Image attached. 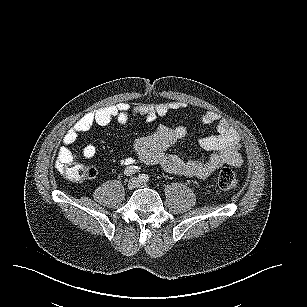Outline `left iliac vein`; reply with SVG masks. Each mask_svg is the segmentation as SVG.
<instances>
[{"instance_id": "4c4485c4", "label": "left iliac vein", "mask_w": 307, "mask_h": 307, "mask_svg": "<svg viewBox=\"0 0 307 307\" xmlns=\"http://www.w3.org/2000/svg\"><path fill=\"white\" fill-rule=\"evenodd\" d=\"M137 186H139V187H146L147 184H145V183H138Z\"/></svg>"}]
</instances>
